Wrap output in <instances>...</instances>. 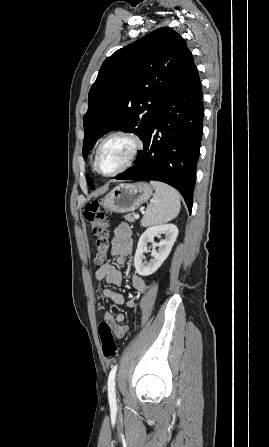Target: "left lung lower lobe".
Wrapping results in <instances>:
<instances>
[{"instance_id":"1","label":"left lung lower lobe","mask_w":269,"mask_h":447,"mask_svg":"<svg viewBox=\"0 0 269 447\" xmlns=\"http://www.w3.org/2000/svg\"><path fill=\"white\" fill-rule=\"evenodd\" d=\"M202 86L188 49L182 65L146 133L135 164L115 179L157 180L176 188L189 212L202 137Z\"/></svg>"}]
</instances>
